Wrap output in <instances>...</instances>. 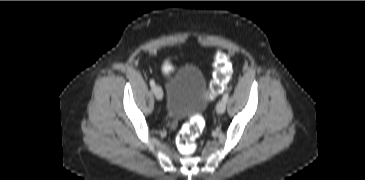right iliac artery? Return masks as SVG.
I'll return each instance as SVG.
<instances>
[{
  "mask_svg": "<svg viewBox=\"0 0 365 180\" xmlns=\"http://www.w3.org/2000/svg\"><path fill=\"white\" fill-rule=\"evenodd\" d=\"M150 86L153 88L155 86V81L153 79L150 80Z\"/></svg>",
  "mask_w": 365,
  "mask_h": 180,
  "instance_id": "obj_1",
  "label": "right iliac artery"
}]
</instances>
